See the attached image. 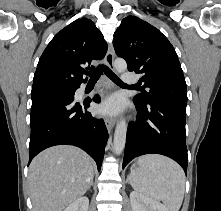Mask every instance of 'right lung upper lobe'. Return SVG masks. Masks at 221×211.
<instances>
[{
  "label": "right lung upper lobe",
  "mask_w": 221,
  "mask_h": 211,
  "mask_svg": "<svg viewBox=\"0 0 221 211\" xmlns=\"http://www.w3.org/2000/svg\"><path fill=\"white\" fill-rule=\"evenodd\" d=\"M106 51L107 43L94 22L77 19L58 32L44 50L32 91L80 86L87 80L83 79V73L89 69L90 62L102 59Z\"/></svg>",
  "instance_id": "1"
}]
</instances>
